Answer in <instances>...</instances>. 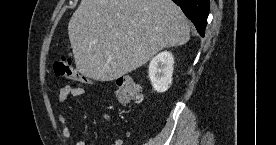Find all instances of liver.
Listing matches in <instances>:
<instances>
[{
	"label": "liver",
	"instance_id": "liver-1",
	"mask_svg": "<svg viewBox=\"0 0 276 145\" xmlns=\"http://www.w3.org/2000/svg\"><path fill=\"white\" fill-rule=\"evenodd\" d=\"M68 35L78 71L112 81L187 43L190 28L172 0H81Z\"/></svg>",
	"mask_w": 276,
	"mask_h": 145
}]
</instances>
